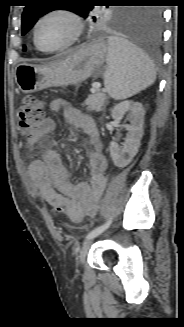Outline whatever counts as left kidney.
<instances>
[{"instance_id":"left-kidney-1","label":"left kidney","mask_w":184,"mask_h":327,"mask_svg":"<svg viewBox=\"0 0 184 327\" xmlns=\"http://www.w3.org/2000/svg\"><path fill=\"white\" fill-rule=\"evenodd\" d=\"M126 112L130 113V124L126 126L127 137L122 147L116 142L110 143V156L119 168L126 167L136 156L143 136L144 108L141 103L123 101L115 105L111 111L112 118L120 120Z\"/></svg>"}]
</instances>
